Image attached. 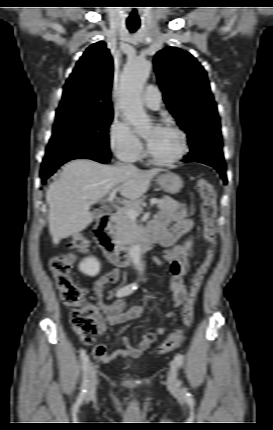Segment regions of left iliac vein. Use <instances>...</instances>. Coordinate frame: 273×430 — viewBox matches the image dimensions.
Wrapping results in <instances>:
<instances>
[{
    "instance_id": "left-iliac-vein-1",
    "label": "left iliac vein",
    "mask_w": 273,
    "mask_h": 430,
    "mask_svg": "<svg viewBox=\"0 0 273 430\" xmlns=\"http://www.w3.org/2000/svg\"><path fill=\"white\" fill-rule=\"evenodd\" d=\"M177 364L173 361L170 366V370L167 376V385L170 390L176 391L179 387L177 379Z\"/></svg>"
}]
</instances>
